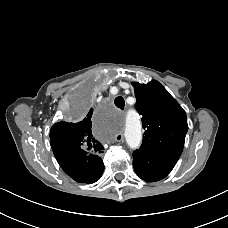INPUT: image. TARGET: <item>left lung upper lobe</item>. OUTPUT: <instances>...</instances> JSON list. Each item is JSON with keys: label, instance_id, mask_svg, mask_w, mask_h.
Segmentation results:
<instances>
[{"label": "left lung upper lobe", "instance_id": "obj_1", "mask_svg": "<svg viewBox=\"0 0 228 228\" xmlns=\"http://www.w3.org/2000/svg\"><path fill=\"white\" fill-rule=\"evenodd\" d=\"M132 85L145 129L141 147L181 155L188 130L185 111L156 80Z\"/></svg>", "mask_w": 228, "mask_h": 228}]
</instances>
